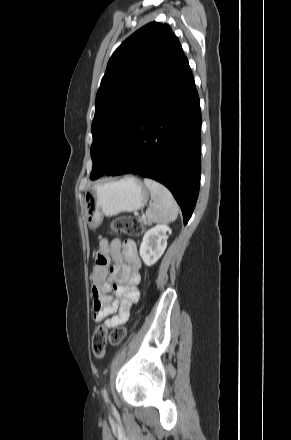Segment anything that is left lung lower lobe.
Instances as JSON below:
<instances>
[{
  "label": "left lung lower lobe",
  "instance_id": "obj_1",
  "mask_svg": "<svg viewBox=\"0 0 291 440\" xmlns=\"http://www.w3.org/2000/svg\"><path fill=\"white\" fill-rule=\"evenodd\" d=\"M200 150L199 96L184 57L104 174L133 173L162 183L180 205L187 224L199 193Z\"/></svg>",
  "mask_w": 291,
  "mask_h": 440
}]
</instances>
